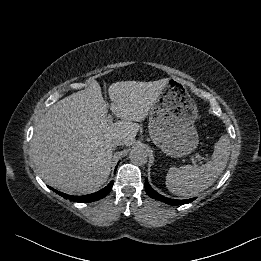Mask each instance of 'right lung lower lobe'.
Wrapping results in <instances>:
<instances>
[{
    "mask_svg": "<svg viewBox=\"0 0 261 261\" xmlns=\"http://www.w3.org/2000/svg\"><path fill=\"white\" fill-rule=\"evenodd\" d=\"M117 168V167H116ZM113 186V181H111L105 188H103L102 190L93 193V194H89V195H85V196H71L62 192H59L51 187H49L50 189H52L54 192H56L57 194H59L60 196L64 197L65 199H70L71 201L74 202H91V201H96L99 200L103 197H105L110 190L112 189Z\"/></svg>",
    "mask_w": 261,
    "mask_h": 261,
    "instance_id": "98d812e1",
    "label": "right lung lower lobe"
}]
</instances>
